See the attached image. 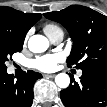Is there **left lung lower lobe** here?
I'll return each mask as SVG.
<instances>
[{
	"instance_id": "left-lung-lower-lobe-1",
	"label": "left lung lower lobe",
	"mask_w": 107,
	"mask_h": 107,
	"mask_svg": "<svg viewBox=\"0 0 107 107\" xmlns=\"http://www.w3.org/2000/svg\"><path fill=\"white\" fill-rule=\"evenodd\" d=\"M82 71L79 83L74 80V84L60 92L63 104L66 107H106L107 67H89Z\"/></svg>"
}]
</instances>
